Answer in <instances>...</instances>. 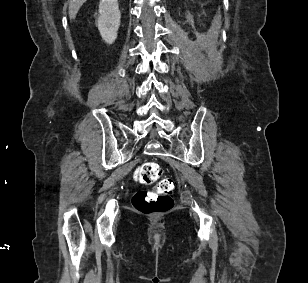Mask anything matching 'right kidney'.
<instances>
[{
	"label": "right kidney",
	"mask_w": 308,
	"mask_h": 283,
	"mask_svg": "<svg viewBox=\"0 0 308 283\" xmlns=\"http://www.w3.org/2000/svg\"><path fill=\"white\" fill-rule=\"evenodd\" d=\"M121 13L118 0H101L97 27L101 37L107 44H112L117 38Z\"/></svg>",
	"instance_id": "ca27d5eb"
}]
</instances>
